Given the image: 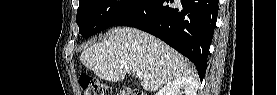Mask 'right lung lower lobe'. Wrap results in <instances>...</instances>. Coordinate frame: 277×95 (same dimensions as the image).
Instances as JSON below:
<instances>
[{
	"label": "right lung lower lobe",
	"mask_w": 277,
	"mask_h": 95,
	"mask_svg": "<svg viewBox=\"0 0 277 95\" xmlns=\"http://www.w3.org/2000/svg\"><path fill=\"white\" fill-rule=\"evenodd\" d=\"M219 0H143L115 25L146 31L189 58L202 81Z\"/></svg>",
	"instance_id": "right-lung-lower-lobe-1"
}]
</instances>
